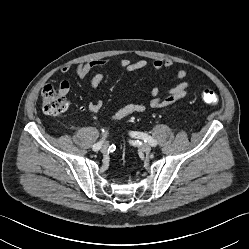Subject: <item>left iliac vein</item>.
<instances>
[{
	"mask_svg": "<svg viewBox=\"0 0 249 249\" xmlns=\"http://www.w3.org/2000/svg\"><path fill=\"white\" fill-rule=\"evenodd\" d=\"M141 149L145 152V153H149L151 151V145L148 143H143L141 146Z\"/></svg>",
	"mask_w": 249,
	"mask_h": 249,
	"instance_id": "obj_1",
	"label": "left iliac vein"
}]
</instances>
